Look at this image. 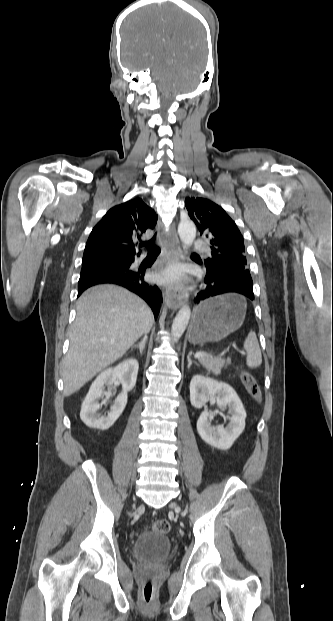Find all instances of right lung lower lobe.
Wrapping results in <instances>:
<instances>
[{"mask_svg": "<svg viewBox=\"0 0 333 621\" xmlns=\"http://www.w3.org/2000/svg\"><path fill=\"white\" fill-rule=\"evenodd\" d=\"M121 259L120 263L104 260L82 265L78 282V296L93 285L117 284L143 298L150 305L156 319L162 302L160 289L156 285H150L144 281L145 268H139V271L130 269L134 257H123Z\"/></svg>", "mask_w": 333, "mask_h": 621, "instance_id": "obj_1", "label": "right lung lower lobe"}]
</instances>
